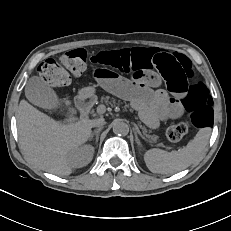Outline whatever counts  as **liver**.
<instances>
[{"label": "liver", "mask_w": 231, "mask_h": 231, "mask_svg": "<svg viewBox=\"0 0 231 231\" xmlns=\"http://www.w3.org/2000/svg\"><path fill=\"white\" fill-rule=\"evenodd\" d=\"M93 120L63 124L21 100L17 110L20 146L40 169L67 176L73 171L71 155L91 136Z\"/></svg>", "instance_id": "obj_1"}]
</instances>
